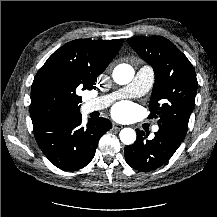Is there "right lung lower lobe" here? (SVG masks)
Segmentation results:
<instances>
[{
  "instance_id": "right-lung-lower-lobe-1",
  "label": "right lung lower lobe",
  "mask_w": 217,
  "mask_h": 217,
  "mask_svg": "<svg viewBox=\"0 0 217 217\" xmlns=\"http://www.w3.org/2000/svg\"><path fill=\"white\" fill-rule=\"evenodd\" d=\"M82 115L33 126L35 139L51 163L65 171L85 167L94 157L101 136L111 129L108 119H89L81 125Z\"/></svg>"
}]
</instances>
